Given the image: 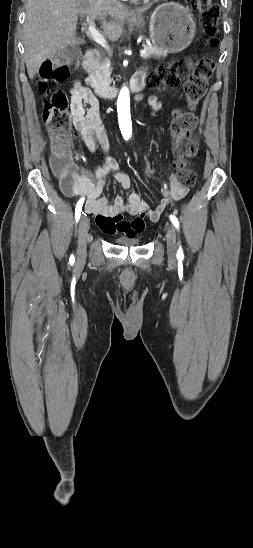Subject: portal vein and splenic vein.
Instances as JSON below:
<instances>
[{
  "instance_id": "1",
  "label": "portal vein and splenic vein",
  "mask_w": 253,
  "mask_h": 548,
  "mask_svg": "<svg viewBox=\"0 0 253 548\" xmlns=\"http://www.w3.org/2000/svg\"><path fill=\"white\" fill-rule=\"evenodd\" d=\"M96 19V16H91L90 21L88 22L86 26L87 34L88 36L95 41L97 44L102 46L104 49L109 51V46L105 40V38L99 33V31L95 27L94 20ZM146 55V48L140 51V56L143 58Z\"/></svg>"
}]
</instances>
